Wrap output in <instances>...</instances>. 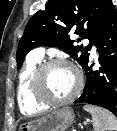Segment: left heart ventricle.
Listing matches in <instances>:
<instances>
[{"instance_id":"left-heart-ventricle-1","label":"left heart ventricle","mask_w":117,"mask_h":131,"mask_svg":"<svg viewBox=\"0 0 117 131\" xmlns=\"http://www.w3.org/2000/svg\"><path fill=\"white\" fill-rule=\"evenodd\" d=\"M77 78L75 73L66 66L49 69L44 79L46 94L53 99L68 97L75 89Z\"/></svg>"}]
</instances>
